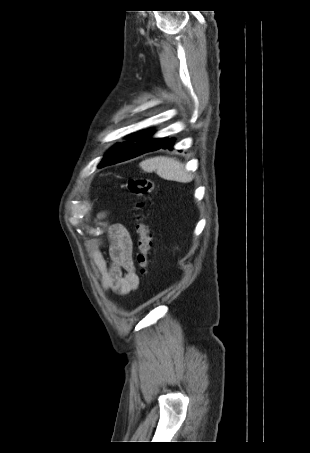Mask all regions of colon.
I'll use <instances>...</instances> for the list:
<instances>
[{"label": "colon", "mask_w": 310, "mask_h": 453, "mask_svg": "<svg viewBox=\"0 0 310 453\" xmlns=\"http://www.w3.org/2000/svg\"><path fill=\"white\" fill-rule=\"evenodd\" d=\"M123 188L138 199L145 198L155 192V184L146 178H131L124 185ZM145 207L143 201H138L136 208L139 213L136 216V233L138 235V252L137 262L142 273H146L149 266V252L153 245L152 236L149 228L144 221L142 210Z\"/></svg>", "instance_id": "obj_1"}]
</instances>
